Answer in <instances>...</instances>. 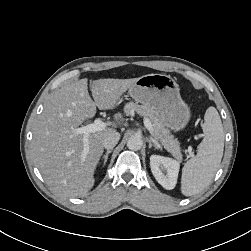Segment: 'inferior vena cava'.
Here are the masks:
<instances>
[{
	"label": "inferior vena cava",
	"mask_w": 251,
	"mask_h": 251,
	"mask_svg": "<svg viewBox=\"0 0 251 251\" xmlns=\"http://www.w3.org/2000/svg\"><path fill=\"white\" fill-rule=\"evenodd\" d=\"M120 139V134L118 132H113L106 136L103 140V147L107 150L113 149Z\"/></svg>",
	"instance_id": "inferior-vena-cava-1"
}]
</instances>
